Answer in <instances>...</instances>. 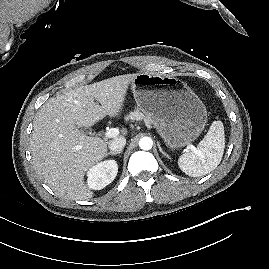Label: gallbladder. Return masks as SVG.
I'll return each mask as SVG.
<instances>
[{
    "label": "gallbladder",
    "mask_w": 269,
    "mask_h": 269,
    "mask_svg": "<svg viewBox=\"0 0 269 269\" xmlns=\"http://www.w3.org/2000/svg\"><path fill=\"white\" fill-rule=\"evenodd\" d=\"M77 128H78L81 132H83V133H85V134H91V132H92V129H91L90 127H80V126H77Z\"/></svg>",
    "instance_id": "gallbladder-1"
}]
</instances>
